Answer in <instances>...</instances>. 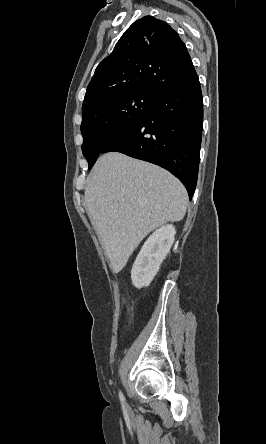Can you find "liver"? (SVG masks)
<instances>
[{
  "label": "liver",
  "mask_w": 266,
  "mask_h": 444,
  "mask_svg": "<svg viewBox=\"0 0 266 444\" xmlns=\"http://www.w3.org/2000/svg\"><path fill=\"white\" fill-rule=\"evenodd\" d=\"M187 192L168 171L118 152L103 154L88 177L85 204L114 273L143 238L167 222L181 221Z\"/></svg>",
  "instance_id": "1"
}]
</instances>
